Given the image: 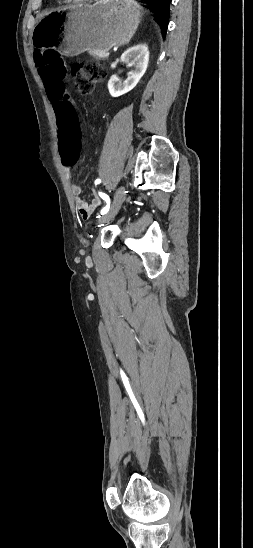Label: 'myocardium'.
<instances>
[{
	"label": "myocardium",
	"mask_w": 253,
	"mask_h": 548,
	"mask_svg": "<svg viewBox=\"0 0 253 548\" xmlns=\"http://www.w3.org/2000/svg\"><path fill=\"white\" fill-rule=\"evenodd\" d=\"M65 2H84V1H93V0H63Z\"/></svg>",
	"instance_id": "obj_1"
}]
</instances>
